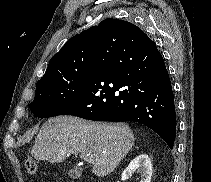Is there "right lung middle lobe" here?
<instances>
[{"mask_svg": "<svg viewBox=\"0 0 211 182\" xmlns=\"http://www.w3.org/2000/svg\"><path fill=\"white\" fill-rule=\"evenodd\" d=\"M92 66L93 63L37 82L31 112L39 118L59 115L84 89Z\"/></svg>", "mask_w": 211, "mask_h": 182, "instance_id": "obj_1", "label": "right lung middle lobe"}]
</instances>
